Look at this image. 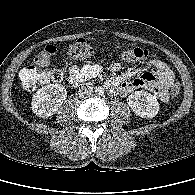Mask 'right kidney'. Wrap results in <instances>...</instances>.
<instances>
[{
	"mask_svg": "<svg viewBox=\"0 0 195 195\" xmlns=\"http://www.w3.org/2000/svg\"><path fill=\"white\" fill-rule=\"evenodd\" d=\"M66 97L67 91L63 85L49 84L43 86L33 95L32 111L42 118L52 116Z\"/></svg>",
	"mask_w": 195,
	"mask_h": 195,
	"instance_id": "obj_1",
	"label": "right kidney"
}]
</instances>
